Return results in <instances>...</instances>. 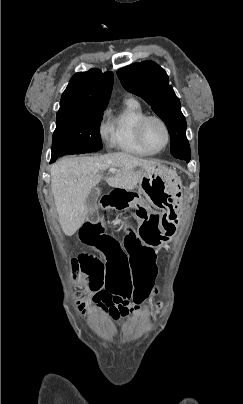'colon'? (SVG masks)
<instances>
[{
	"label": "colon",
	"instance_id": "obj_1",
	"mask_svg": "<svg viewBox=\"0 0 243 404\" xmlns=\"http://www.w3.org/2000/svg\"><path fill=\"white\" fill-rule=\"evenodd\" d=\"M73 266H74V269H75V270H77V269H79V268H80V265H79V263H78V261H77V260H74V262H73ZM135 299H137V298H135Z\"/></svg>",
	"mask_w": 243,
	"mask_h": 404
}]
</instances>
